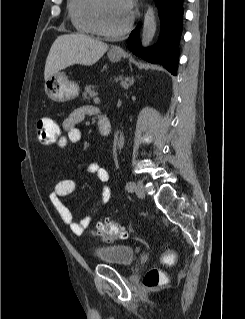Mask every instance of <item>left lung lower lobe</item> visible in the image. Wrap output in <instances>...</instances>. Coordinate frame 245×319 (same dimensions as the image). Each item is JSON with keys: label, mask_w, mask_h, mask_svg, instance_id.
I'll use <instances>...</instances> for the list:
<instances>
[{"label": "left lung lower lobe", "mask_w": 245, "mask_h": 319, "mask_svg": "<svg viewBox=\"0 0 245 319\" xmlns=\"http://www.w3.org/2000/svg\"><path fill=\"white\" fill-rule=\"evenodd\" d=\"M161 21V33L157 44L143 49L139 41L138 28L129 36L127 46L135 55L150 63L162 64L176 75L178 67V44L182 32L183 0H155Z\"/></svg>", "instance_id": "1"}]
</instances>
